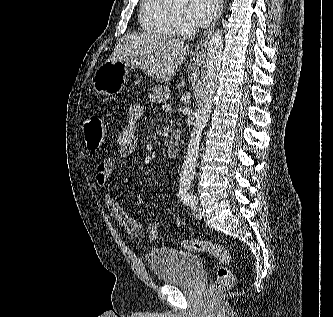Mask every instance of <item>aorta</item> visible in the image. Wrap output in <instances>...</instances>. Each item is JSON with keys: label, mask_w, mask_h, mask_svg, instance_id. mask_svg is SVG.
<instances>
[{"label": "aorta", "mask_w": 333, "mask_h": 317, "mask_svg": "<svg viewBox=\"0 0 333 317\" xmlns=\"http://www.w3.org/2000/svg\"><path fill=\"white\" fill-rule=\"evenodd\" d=\"M188 0H168L171 4L183 5ZM223 36L222 29H217L211 36L208 44L206 57V99L202 108L195 113L194 127L191 132L187 152L182 165L180 174V184L190 185L193 181L196 160L199 151V145L203 129L207 125L213 109V95L218 84L219 71L221 68L222 53H223Z\"/></svg>", "instance_id": "aorta-1"}]
</instances>
